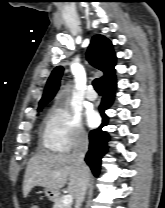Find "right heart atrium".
Here are the masks:
<instances>
[{
	"label": "right heart atrium",
	"mask_w": 165,
	"mask_h": 208,
	"mask_svg": "<svg viewBox=\"0 0 165 208\" xmlns=\"http://www.w3.org/2000/svg\"><path fill=\"white\" fill-rule=\"evenodd\" d=\"M87 140L79 111L64 104L50 109L44 130V142L50 150L68 152L84 145Z\"/></svg>",
	"instance_id": "obj_1"
}]
</instances>
